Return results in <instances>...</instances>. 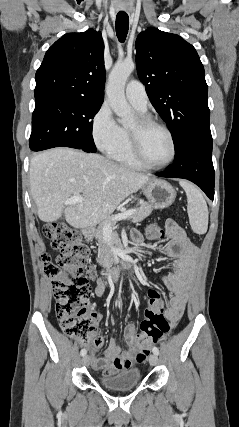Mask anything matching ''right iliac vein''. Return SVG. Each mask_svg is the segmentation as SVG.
<instances>
[{
	"instance_id": "63e3f726",
	"label": "right iliac vein",
	"mask_w": 239,
	"mask_h": 427,
	"mask_svg": "<svg viewBox=\"0 0 239 427\" xmlns=\"http://www.w3.org/2000/svg\"><path fill=\"white\" fill-rule=\"evenodd\" d=\"M82 364L85 365V366H88L90 364V357L88 355H85L82 358Z\"/></svg>"
}]
</instances>
